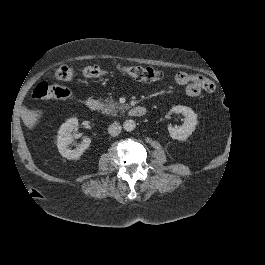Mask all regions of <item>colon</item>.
I'll return each instance as SVG.
<instances>
[{
    "mask_svg": "<svg viewBox=\"0 0 265 265\" xmlns=\"http://www.w3.org/2000/svg\"><path fill=\"white\" fill-rule=\"evenodd\" d=\"M119 70L129 76L147 82L160 81L165 78V74L151 67L142 66H120ZM107 73L106 70L96 65H89L82 69L85 77L96 78ZM54 77L60 81H69L73 77V70L69 66H61L54 72ZM71 97V91L65 87L48 84L46 82L39 83L33 90V98L37 100L61 99L67 100Z\"/></svg>",
    "mask_w": 265,
    "mask_h": 265,
    "instance_id": "5ec220e1",
    "label": "colon"
}]
</instances>
